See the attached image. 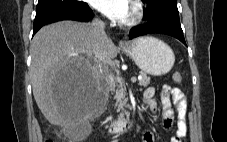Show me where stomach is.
<instances>
[{
    "mask_svg": "<svg viewBox=\"0 0 227 142\" xmlns=\"http://www.w3.org/2000/svg\"><path fill=\"white\" fill-rule=\"evenodd\" d=\"M122 50L143 72L153 76L168 73L175 62L172 49L161 40L151 36L128 42Z\"/></svg>",
    "mask_w": 227,
    "mask_h": 142,
    "instance_id": "obj_1",
    "label": "stomach"
}]
</instances>
